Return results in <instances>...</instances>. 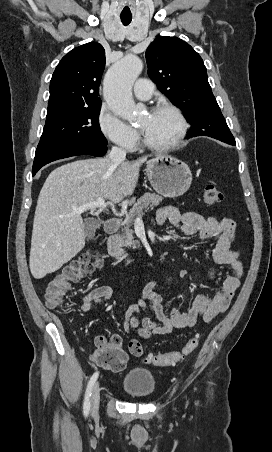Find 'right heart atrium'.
Listing matches in <instances>:
<instances>
[{"label":"right heart atrium","mask_w":272,"mask_h":452,"mask_svg":"<svg viewBox=\"0 0 272 452\" xmlns=\"http://www.w3.org/2000/svg\"><path fill=\"white\" fill-rule=\"evenodd\" d=\"M97 123L102 135L115 146L132 150L137 143L136 132L106 108H101Z\"/></svg>","instance_id":"1"}]
</instances>
